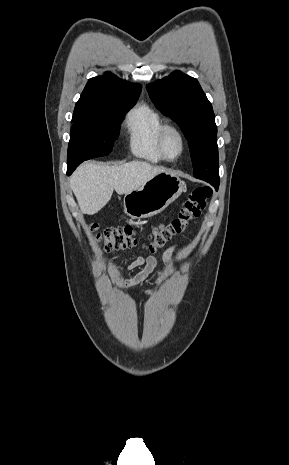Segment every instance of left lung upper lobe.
I'll return each instance as SVG.
<instances>
[{
  "instance_id": "left-lung-upper-lobe-1",
  "label": "left lung upper lobe",
  "mask_w": 289,
  "mask_h": 465,
  "mask_svg": "<svg viewBox=\"0 0 289 465\" xmlns=\"http://www.w3.org/2000/svg\"><path fill=\"white\" fill-rule=\"evenodd\" d=\"M147 89L156 107L180 126L188 140L194 176L218 188L217 127L212 105L198 81L175 71Z\"/></svg>"
}]
</instances>
